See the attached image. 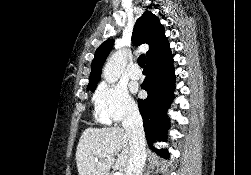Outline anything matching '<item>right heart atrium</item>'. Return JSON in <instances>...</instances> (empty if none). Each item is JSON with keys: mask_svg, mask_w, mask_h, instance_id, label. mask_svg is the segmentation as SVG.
Segmentation results:
<instances>
[{"mask_svg": "<svg viewBox=\"0 0 251 175\" xmlns=\"http://www.w3.org/2000/svg\"><path fill=\"white\" fill-rule=\"evenodd\" d=\"M95 117L103 124L119 123L134 116L137 106L121 84L102 81L92 98Z\"/></svg>", "mask_w": 251, "mask_h": 175, "instance_id": "right-heart-atrium-1", "label": "right heart atrium"}]
</instances>
